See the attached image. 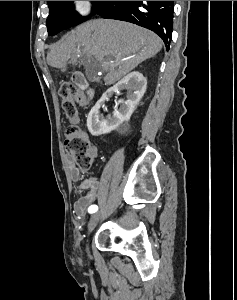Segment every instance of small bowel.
<instances>
[{
  "label": "small bowel",
  "mask_w": 237,
  "mask_h": 300,
  "mask_svg": "<svg viewBox=\"0 0 237 300\" xmlns=\"http://www.w3.org/2000/svg\"><path fill=\"white\" fill-rule=\"evenodd\" d=\"M76 98L81 103H85V99L81 94H77ZM70 123L77 125L79 123V117L70 119ZM89 154L92 159L98 155V150L95 146L90 147ZM67 166L70 178L78 183L80 190L86 191V193L80 197L74 204V213L79 218H84L87 215V211L90 206L94 205L95 201L102 194L104 189L116 188L117 180L108 178L107 174L100 177H91L83 179L80 170L74 164L71 159L67 160Z\"/></svg>",
  "instance_id": "1"
}]
</instances>
